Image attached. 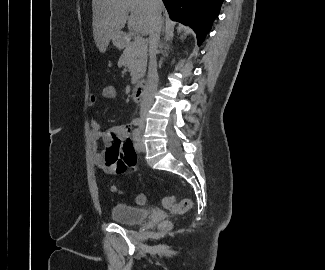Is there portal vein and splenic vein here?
Returning a JSON list of instances; mask_svg holds the SVG:
<instances>
[{
    "mask_svg": "<svg viewBox=\"0 0 325 270\" xmlns=\"http://www.w3.org/2000/svg\"><path fill=\"white\" fill-rule=\"evenodd\" d=\"M135 42H136L138 45H143V44H144V39H143L142 36L137 35V36L135 37Z\"/></svg>",
    "mask_w": 325,
    "mask_h": 270,
    "instance_id": "obj_1",
    "label": "portal vein and splenic vein"
}]
</instances>
